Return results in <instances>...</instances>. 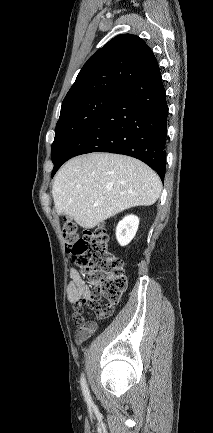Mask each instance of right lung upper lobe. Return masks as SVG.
Segmentation results:
<instances>
[{
  "label": "right lung upper lobe",
  "instance_id": "obj_1",
  "mask_svg": "<svg viewBox=\"0 0 213 433\" xmlns=\"http://www.w3.org/2000/svg\"><path fill=\"white\" fill-rule=\"evenodd\" d=\"M157 64L141 38L118 35L84 64L62 105L102 92L122 94Z\"/></svg>",
  "mask_w": 213,
  "mask_h": 433
}]
</instances>
